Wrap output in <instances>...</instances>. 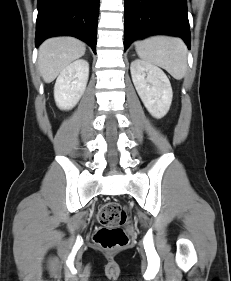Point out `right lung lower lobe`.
Wrapping results in <instances>:
<instances>
[{
	"instance_id": "1",
	"label": "right lung lower lobe",
	"mask_w": 231,
	"mask_h": 281,
	"mask_svg": "<svg viewBox=\"0 0 231 281\" xmlns=\"http://www.w3.org/2000/svg\"><path fill=\"white\" fill-rule=\"evenodd\" d=\"M35 44L53 36H74L96 53L99 0H38Z\"/></svg>"
}]
</instances>
